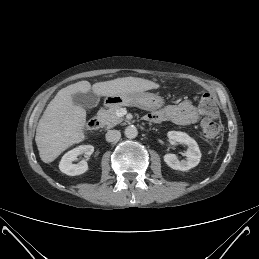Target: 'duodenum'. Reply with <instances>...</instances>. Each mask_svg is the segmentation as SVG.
<instances>
[{"label":"duodenum","mask_w":259,"mask_h":259,"mask_svg":"<svg viewBox=\"0 0 259 259\" xmlns=\"http://www.w3.org/2000/svg\"><path fill=\"white\" fill-rule=\"evenodd\" d=\"M110 102L107 101L103 104V106H107ZM101 126V121L99 119V117H94L92 118L89 122H88V128L91 131H97Z\"/></svg>","instance_id":"duodenum-1"}]
</instances>
